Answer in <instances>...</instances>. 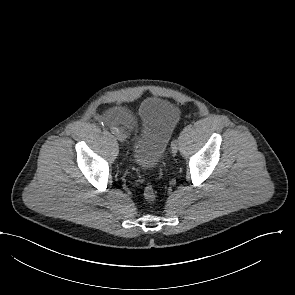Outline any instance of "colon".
<instances>
[{"instance_id": "obj_1", "label": "colon", "mask_w": 295, "mask_h": 295, "mask_svg": "<svg viewBox=\"0 0 295 295\" xmlns=\"http://www.w3.org/2000/svg\"><path fill=\"white\" fill-rule=\"evenodd\" d=\"M143 195H144V198L150 202H152L156 199V192L151 185H147L144 188Z\"/></svg>"}]
</instances>
